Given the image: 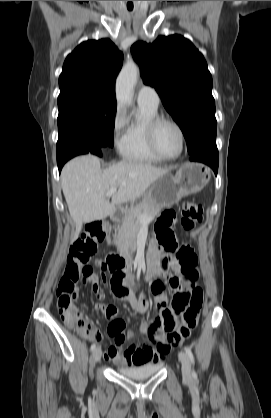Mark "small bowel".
<instances>
[{
    "label": "small bowel",
    "mask_w": 271,
    "mask_h": 418,
    "mask_svg": "<svg viewBox=\"0 0 271 418\" xmlns=\"http://www.w3.org/2000/svg\"><path fill=\"white\" fill-rule=\"evenodd\" d=\"M161 246L154 241L148 250V269L146 278L150 281L151 291L155 300L156 307L160 314L153 322H143L136 333L129 332L125 335L124 328L127 326V321L123 314L120 313L119 305H108L104 309L102 304L96 305L98 310H104V316L107 317V331L110 333V338L114 339L115 344L110 347L104 354L106 361L114 362L119 366H141L147 363L160 362L169 352V348H162L161 345L166 343V336L162 330L164 315L166 312H171L177 316V311L171 306H167V299L164 294L167 290V285L171 286L173 291L177 294L183 290V285L180 284L178 277H173L170 273L172 268L179 272V264L175 258L170 256H160ZM111 289L114 296L122 301L128 302L132 309L138 313H145L148 310L149 303L143 295L136 297L131 290L132 279L126 268L117 266L112 269L110 273ZM159 278L167 279L163 283ZM92 284V290L98 299H103L104 294L100 291L98 286V276L93 274L87 279ZM195 284V283H194ZM136 335H144L147 337L149 344L131 345L125 350L122 349L125 340L132 339Z\"/></svg>",
    "instance_id": "c3829d8e"
}]
</instances>
